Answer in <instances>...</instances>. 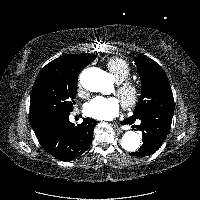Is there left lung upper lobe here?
Here are the masks:
<instances>
[{"label": "left lung upper lobe", "instance_id": "left-lung-upper-lobe-1", "mask_svg": "<svg viewBox=\"0 0 200 200\" xmlns=\"http://www.w3.org/2000/svg\"><path fill=\"white\" fill-rule=\"evenodd\" d=\"M141 78V98L131 119H136L148 111H156L161 115L172 117L174 99L165 72L158 63L145 56L135 60Z\"/></svg>", "mask_w": 200, "mask_h": 200}]
</instances>
